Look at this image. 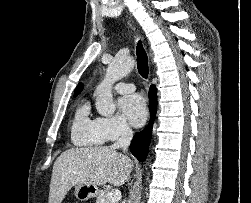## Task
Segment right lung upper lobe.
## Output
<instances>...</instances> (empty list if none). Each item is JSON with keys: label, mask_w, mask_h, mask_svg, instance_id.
Returning <instances> with one entry per match:
<instances>
[{"label": "right lung upper lobe", "mask_w": 251, "mask_h": 203, "mask_svg": "<svg viewBox=\"0 0 251 203\" xmlns=\"http://www.w3.org/2000/svg\"><path fill=\"white\" fill-rule=\"evenodd\" d=\"M82 90H83V84L79 83L78 86L75 89L74 97H76L77 95H79Z\"/></svg>", "instance_id": "right-lung-upper-lobe-1"}]
</instances>
